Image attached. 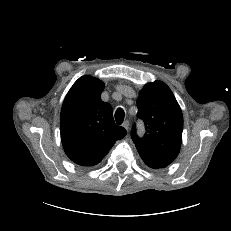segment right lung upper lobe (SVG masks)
<instances>
[{
  "label": "right lung upper lobe",
  "mask_w": 231,
  "mask_h": 231,
  "mask_svg": "<svg viewBox=\"0 0 231 231\" xmlns=\"http://www.w3.org/2000/svg\"><path fill=\"white\" fill-rule=\"evenodd\" d=\"M104 83L83 76L71 87L61 109V141L67 156L81 166L98 164L126 130L116 126L112 107L100 95Z\"/></svg>",
  "instance_id": "1"
}]
</instances>
